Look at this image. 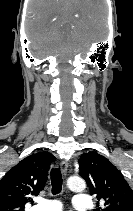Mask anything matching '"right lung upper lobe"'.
<instances>
[{
  "label": "right lung upper lobe",
  "mask_w": 133,
  "mask_h": 211,
  "mask_svg": "<svg viewBox=\"0 0 133 211\" xmlns=\"http://www.w3.org/2000/svg\"><path fill=\"white\" fill-rule=\"evenodd\" d=\"M54 156L32 154L12 167L0 181V211H24L31 195L44 189Z\"/></svg>",
  "instance_id": "1"
}]
</instances>
